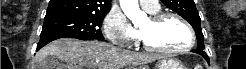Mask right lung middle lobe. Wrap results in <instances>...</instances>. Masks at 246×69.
I'll return each instance as SVG.
<instances>
[{
    "instance_id": "1",
    "label": "right lung middle lobe",
    "mask_w": 246,
    "mask_h": 69,
    "mask_svg": "<svg viewBox=\"0 0 246 69\" xmlns=\"http://www.w3.org/2000/svg\"><path fill=\"white\" fill-rule=\"evenodd\" d=\"M105 15H59L44 19L40 37H72L103 40L101 26Z\"/></svg>"
}]
</instances>
